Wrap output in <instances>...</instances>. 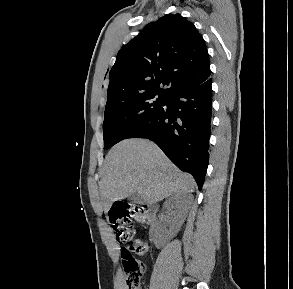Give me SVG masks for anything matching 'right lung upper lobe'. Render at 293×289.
Listing matches in <instances>:
<instances>
[{
    "label": "right lung upper lobe",
    "mask_w": 293,
    "mask_h": 289,
    "mask_svg": "<svg viewBox=\"0 0 293 289\" xmlns=\"http://www.w3.org/2000/svg\"><path fill=\"white\" fill-rule=\"evenodd\" d=\"M210 74L207 48L194 24L168 14L146 25L118 52L109 73L107 104L151 92L170 96L202 84Z\"/></svg>",
    "instance_id": "obj_1"
}]
</instances>
